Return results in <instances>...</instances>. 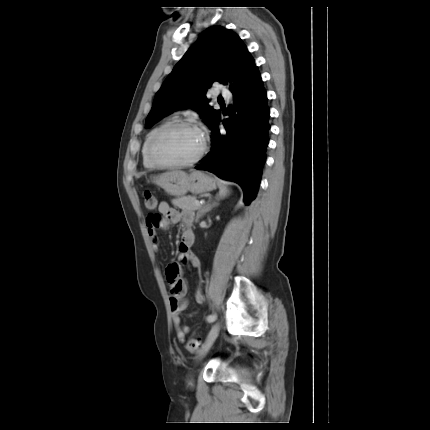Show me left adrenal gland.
Here are the masks:
<instances>
[{"instance_id": "left-adrenal-gland-1", "label": "left adrenal gland", "mask_w": 430, "mask_h": 430, "mask_svg": "<svg viewBox=\"0 0 430 430\" xmlns=\"http://www.w3.org/2000/svg\"><path fill=\"white\" fill-rule=\"evenodd\" d=\"M210 202L211 200H209L208 203L203 206V208L197 213L196 221L199 220L202 216H204L207 212H210L214 207H217L219 205V203L217 202H213L212 204Z\"/></svg>"}]
</instances>
